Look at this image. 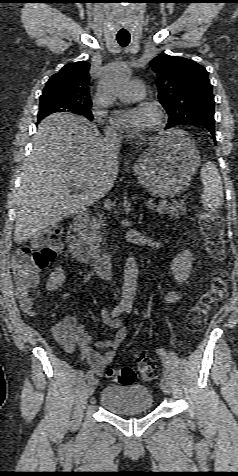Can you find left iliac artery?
<instances>
[{"label": "left iliac artery", "instance_id": "1", "mask_svg": "<svg viewBox=\"0 0 238 476\" xmlns=\"http://www.w3.org/2000/svg\"><path fill=\"white\" fill-rule=\"evenodd\" d=\"M125 310H126L127 313H130L131 312V305H128ZM157 353L161 356V358L163 360V363H164L163 375H164V377L169 379L170 378L169 356H168L167 352L163 349H157Z\"/></svg>", "mask_w": 238, "mask_h": 476}]
</instances>
